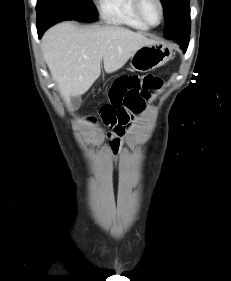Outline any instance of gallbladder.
<instances>
[{"label": "gallbladder", "instance_id": "gallbladder-1", "mask_svg": "<svg viewBox=\"0 0 231 281\" xmlns=\"http://www.w3.org/2000/svg\"><path fill=\"white\" fill-rule=\"evenodd\" d=\"M81 103L80 97H72L71 98V106L73 109H78Z\"/></svg>", "mask_w": 231, "mask_h": 281}]
</instances>
